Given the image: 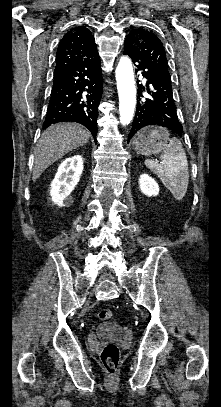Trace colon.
Masks as SVG:
<instances>
[{
  "label": "colon",
  "mask_w": 221,
  "mask_h": 407,
  "mask_svg": "<svg viewBox=\"0 0 221 407\" xmlns=\"http://www.w3.org/2000/svg\"><path fill=\"white\" fill-rule=\"evenodd\" d=\"M112 317V312L108 308H101L97 312L99 321H108ZM101 361L106 373L113 376L119 365L120 353L119 348L115 343L106 344L101 351Z\"/></svg>",
  "instance_id": "5ec220e1"
}]
</instances>
